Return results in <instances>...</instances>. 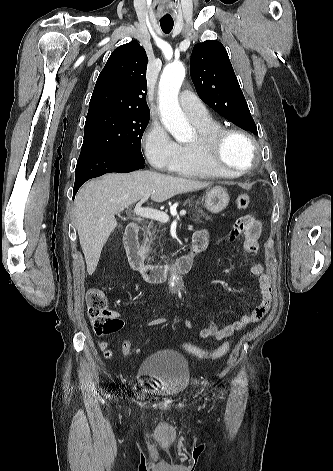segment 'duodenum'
Segmentation results:
<instances>
[{
  "label": "duodenum",
  "instance_id": "410a0bca",
  "mask_svg": "<svg viewBox=\"0 0 333 471\" xmlns=\"http://www.w3.org/2000/svg\"><path fill=\"white\" fill-rule=\"evenodd\" d=\"M139 231L140 226L138 223L129 224L124 234V245L130 266L138 271L148 283H160L172 272H189L194 266L196 255L204 250V245L193 243L191 251L172 264H148L145 262L144 255L140 249L138 240Z\"/></svg>",
  "mask_w": 333,
  "mask_h": 471
}]
</instances>
